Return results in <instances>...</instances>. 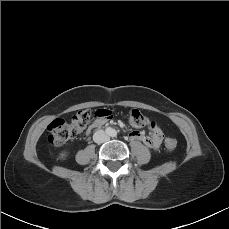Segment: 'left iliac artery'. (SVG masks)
I'll return each instance as SVG.
<instances>
[{"label":"left iliac artery","mask_w":229,"mask_h":229,"mask_svg":"<svg viewBox=\"0 0 229 229\" xmlns=\"http://www.w3.org/2000/svg\"><path fill=\"white\" fill-rule=\"evenodd\" d=\"M117 135V132L116 131H113V136H116Z\"/></svg>","instance_id":"left-iliac-artery-1"}]
</instances>
